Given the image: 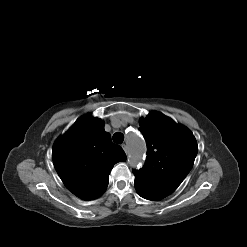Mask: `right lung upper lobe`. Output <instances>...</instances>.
I'll return each instance as SVG.
<instances>
[{
  "mask_svg": "<svg viewBox=\"0 0 247 247\" xmlns=\"http://www.w3.org/2000/svg\"><path fill=\"white\" fill-rule=\"evenodd\" d=\"M52 153L64 185L83 200L103 194L114 164L126 160L123 149L105 132L104 122L90 114L79 118L56 140Z\"/></svg>",
  "mask_w": 247,
  "mask_h": 247,
  "instance_id": "1",
  "label": "right lung upper lobe"
}]
</instances>
